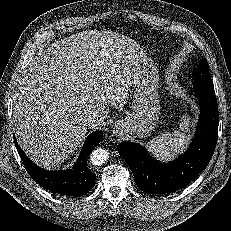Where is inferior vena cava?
<instances>
[{"instance_id":"obj_1","label":"inferior vena cava","mask_w":231,"mask_h":231,"mask_svg":"<svg viewBox=\"0 0 231 231\" xmlns=\"http://www.w3.org/2000/svg\"><path fill=\"white\" fill-rule=\"evenodd\" d=\"M85 124L89 127H95L101 124V120L95 116L89 115L85 120Z\"/></svg>"}]
</instances>
